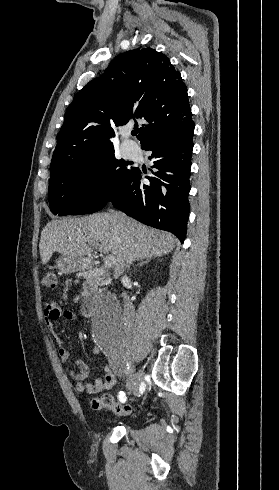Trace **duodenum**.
<instances>
[{
  "label": "duodenum",
  "instance_id": "duodenum-1",
  "mask_svg": "<svg viewBox=\"0 0 279 490\" xmlns=\"http://www.w3.org/2000/svg\"><path fill=\"white\" fill-rule=\"evenodd\" d=\"M94 311L93 297L91 295L85 296L81 301V312L84 316L90 317Z\"/></svg>",
  "mask_w": 279,
  "mask_h": 490
}]
</instances>
